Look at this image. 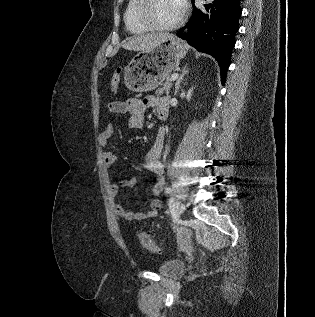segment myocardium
<instances>
[{
    "label": "myocardium",
    "instance_id": "obj_1",
    "mask_svg": "<svg viewBox=\"0 0 315 317\" xmlns=\"http://www.w3.org/2000/svg\"><path fill=\"white\" fill-rule=\"evenodd\" d=\"M154 0H141V3L138 8V19L139 21L148 29L155 31H170L180 27L184 20L185 15L181 13L178 20L168 25H160L154 22L151 17V9L153 6Z\"/></svg>",
    "mask_w": 315,
    "mask_h": 317
}]
</instances>
